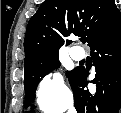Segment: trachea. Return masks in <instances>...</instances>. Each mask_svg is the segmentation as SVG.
Returning <instances> with one entry per match:
<instances>
[{"mask_svg":"<svg viewBox=\"0 0 121 113\" xmlns=\"http://www.w3.org/2000/svg\"><path fill=\"white\" fill-rule=\"evenodd\" d=\"M86 41H87V38H86V37H82V38H81V42H82V43H86Z\"/></svg>","mask_w":121,"mask_h":113,"instance_id":"obj_1","label":"trachea"}]
</instances>
